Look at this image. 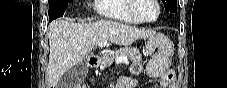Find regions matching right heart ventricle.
<instances>
[{
    "label": "right heart ventricle",
    "mask_w": 227,
    "mask_h": 88,
    "mask_svg": "<svg viewBox=\"0 0 227 88\" xmlns=\"http://www.w3.org/2000/svg\"><path fill=\"white\" fill-rule=\"evenodd\" d=\"M129 2L130 0H95V8L105 18L127 23H138L129 12Z\"/></svg>",
    "instance_id": "right-heart-ventricle-1"
}]
</instances>
